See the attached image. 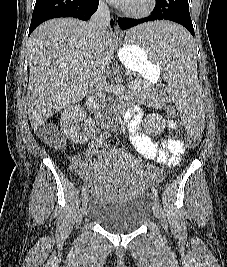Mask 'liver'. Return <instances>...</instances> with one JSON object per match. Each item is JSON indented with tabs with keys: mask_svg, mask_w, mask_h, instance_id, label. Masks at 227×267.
Wrapping results in <instances>:
<instances>
[{
	"mask_svg": "<svg viewBox=\"0 0 227 267\" xmlns=\"http://www.w3.org/2000/svg\"><path fill=\"white\" fill-rule=\"evenodd\" d=\"M114 50L113 35L107 32L104 44H99L85 21L60 18L37 27L28 47L27 107L32 128L37 130L54 113L82 100L97 67L102 62L108 66Z\"/></svg>",
	"mask_w": 227,
	"mask_h": 267,
	"instance_id": "obj_1",
	"label": "liver"
}]
</instances>
